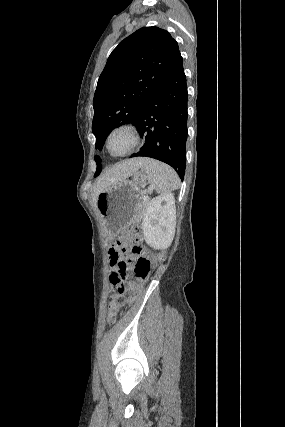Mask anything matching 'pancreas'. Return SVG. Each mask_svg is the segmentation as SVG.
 Here are the masks:
<instances>
[{
    "mask_svg": "<svg viewBox=\"0 0 285 427\" xmlns=\"http://www.w3.org/2000/svg\"><path fill=\"white\" fill-rule=\"evenodd\" d=\"M148 202H149V200L147 199V200H142L139 203V214H138V217L136 218L135 222L139 221L141 219L143 212H144L145 208L147 207Z\"/></svg>",
    "mask_w": 285,
    "mask_h": 427,
    "instance_id": "pancreas-1",
    "label": "pancreas"
}]
</instances>
